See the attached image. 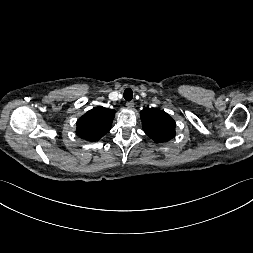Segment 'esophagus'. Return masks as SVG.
<instances>
[{"label": "esophagus", "instance_id": "34e87169", "mask_svg": "<svg viewBox=\"0 0 253 253\" xmlns=\"http://www.w3.org/2000/svg\"><path fill=\"white\" fill-rule=\"evenodd\" d=\"M126 106H127V108L132 109L134 107V102L133 101H128L126 103Z\"/></svg>", "mask_w": 253, "mask_h": 253}]
</instances>
